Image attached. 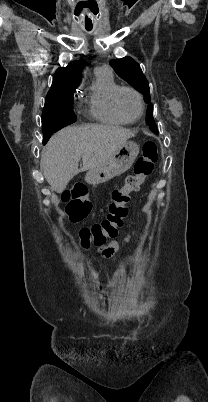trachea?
<instances>
[{
    "label": "trachea",
    "instance_id": "1",
    "mask_svg": "<svg viewBox=\"0 0 208 402\" xmlns=\"http://www.w3.org/2000/svg\"><path fill=\"white\" fill-rule=\"evenodd\" d=\"M86 30H88V32H90V30H92V28H86Z\"/></svg>",
    "mask_w": 208,
    "mask_h": 402
}]
</instances>
